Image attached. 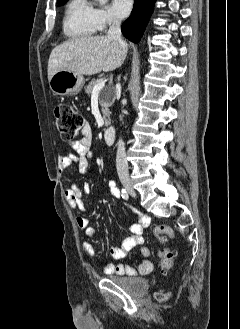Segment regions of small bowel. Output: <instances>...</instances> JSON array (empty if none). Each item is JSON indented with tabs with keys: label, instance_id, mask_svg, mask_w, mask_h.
<instances>
[{
	"label": "small bowel",
	"instance_id": "c3829d8e",
	"mask_svg": "<svg viewBox=\"0 0 240 329\" xmlns=\"http://www.w3.org/2000/svg\"><path fill=\"white\" fill-rule=\"evenodd\" d=\"M81 138L72 145L73 152L69 154H61L58 156L57 171L60 177H64L67 170L72 165H77L80 174H87L90 168V159L93 157L91 150L92 145V128L88 122L84 123L82 127ZM108 187L113 197L118 198L119 192L115 187L114 182L109 181ZM91 191V185L84 183L81 187L79 185H72L65 190V197L69 206L73 209H78L85 212L86 208L83 202V195ZM138 223L130 227L131 236L126 238L120 245L110 248V254L115 259L125 258L130 250L135 246L141 245L140 254L144 260L137 268L126 264H110L104 263L103 270L107 274H115L119 276L128 275H147L153 270V263L148 259L150 249L143 244L144 227L148 224L149 219L145 215L138 214ZM77 227L85 232L88 240L83 243V253L88 259H92L95 252L94 238L96 236L95 229L89 226V219L85 215H79L76 218Z\"/></svg>",
	"mask_w": 240,
	"mask_h": 329
}]
</instances>
